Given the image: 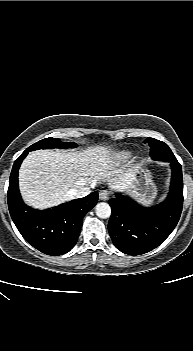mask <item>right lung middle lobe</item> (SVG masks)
Returning a JSON list of instances; mask_svg holds the SVG:
<instances>
[{
    "label": "right lung middle lobe",
    "instance_id": "obj_1",
    "mask_svg": "<svg viewBox=\"0 0 193 351\" xmlns=\"http://www.w3.org/2000/svg\"><path fill=\"white\" fill-rule=\"evenodd\" d=\"M74 142H61L58 138H45L36 142L35 144L28 147L25 151L30 152L39 149H52V148H72L76 147Z\"/></svg>",
    "mask_w": 193,
    "mask_h": 351
}]
</instances>
